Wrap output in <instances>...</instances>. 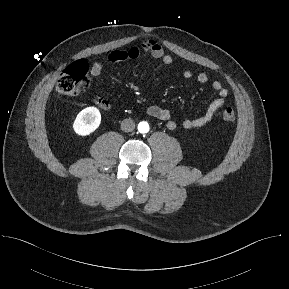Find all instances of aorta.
I'll return each mask as SVG.
<instances>
[{"instance_id": "762f6f07", "label": "aorta", "mask_w": 289, "mask_h": 289, "mask_svg": "<svg viewBox=\"0 0 289 289\" xmlns=\"http://www.w3.org/2000/svg\"><path fill=\"white\" fill-rule=\"evenodd\" d=\"M138 131L140 133H147L149 131V124L147 122H140L138 124Z\"/></svg>"}]
</instances>
